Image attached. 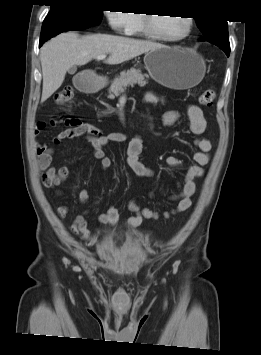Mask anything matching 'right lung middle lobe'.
Here are the masks:
<instances>
[{
	"label": "right lung middle lobe",
	"mask_w": 261,
	"mask_h": 355,
	"mask_svg": "<svg viewBox=\"0 0 261 355\" xmlns=\"http://www.w3.org/2000/svg\"><path fill=\"white\" fill-rule=\"evenodd\" d=\"M64 15L76 17L88 25L96 26L102 20L103 10L90 0H63L51 5L46 18Z\"/></svg>",
	"instance_id": "1"
}]
</instances>
